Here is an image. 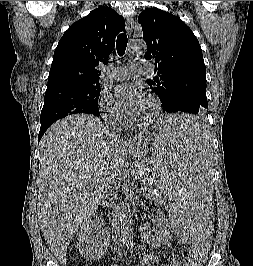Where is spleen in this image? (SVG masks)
<instances>
[{"instance_id": "1", "label": "spleen", "mask_w": 253, "mask_h": 266, "mask_svg": "<svg viewBox=\"0 0 253 266\" xmlns=\"http://www.w3.org/2000/svg\"><path fill=\"white\" fill-rule=\"evenodd\" d=\"M159 117V145L149 162L145 184L151 199L170 210V229L182 248H204L216 234L215 207H211L210 135L198 115L176 111Z\"/></svg>"}]
</instances>
